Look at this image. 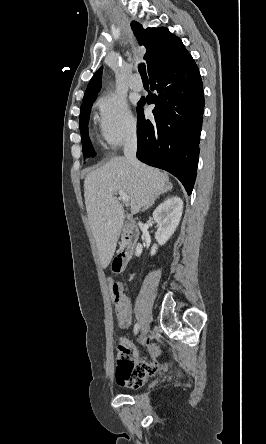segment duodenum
Returning <instances> with one entry per match:
<instances>
[{"instance_id":"duodenum-1","label":"duodenum","mask_w":266,"mask_h":444,"mask_svg":"<svg viewBox=\"0 0 266 444\" xmlns=\"http://www.w3.org/2000/svg\"><path fill=\"white\" fill-rule=\"evenodd\" d=\"M137 237V227L132 221H126L121 247L114 259V265H116L117 271H123L128 266L132 256L133 245L136 242Z\"/></svg>"}]
</instances>
